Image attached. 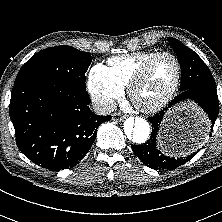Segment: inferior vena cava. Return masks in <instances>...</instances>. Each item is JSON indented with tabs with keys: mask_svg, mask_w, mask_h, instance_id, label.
<instances>
[{
	"mask_svg": "<svg viewBox=\"0 0 222 222\" xmlns=\"http://www.w3.org/2000/svg\"><path fill=\"white\" fill-rule=\"evenodd\" d=\"M93 109L98 115H109L116 109L114 101L94 102Z\"/></svg>",
	"mask_w": 222,
	"mask_h": 222,
	"instance_id": "1",
	"label": "inferior vena cava"
}]
</instances>
